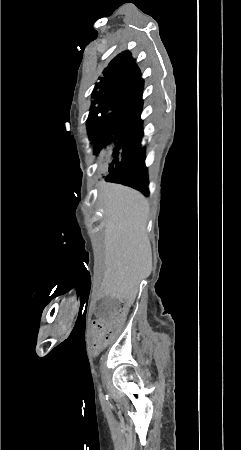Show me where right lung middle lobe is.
Instances as JSON below:
<instances>
[{"instance_id": "dd1d6c3e", "label": "right lung middle lobe", "mask_w": 241, "mask_h": 450, "mask_svg": "<svg viewBox=\"0 0 241 450\" xmlns=\"http://www.w3.org/2000/svg\"><path fill=\"white\" fill-rule=\"evenodd\" d=\"M87 131L95 141L98 165L110 172L141 142L143 101L119 98L110 86L96 84Z\"/></svg>"}]
</instances>
